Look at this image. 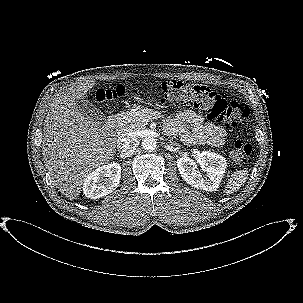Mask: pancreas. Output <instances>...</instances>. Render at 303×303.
<instances>
[{
    "label": "pancreas",
    "mask_w": 303,
    "mask_h": 303,
    "mask_svg": "<svg viewBox=\"0 0 303 303\" xmlns=\"http://www.w3.org/2000/svg\"><path fill=\"white\" fill-rule=\"evenodd\" d=\"M161 117V113L149 108L129 111L120 114L118 129L120 133L142 130L150 120Z\"/></svg>",
    "instance_id": "1"
}]
</instances>
